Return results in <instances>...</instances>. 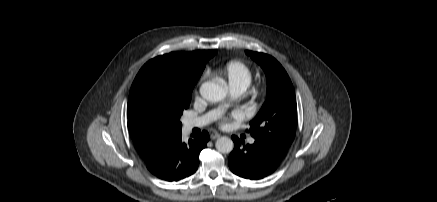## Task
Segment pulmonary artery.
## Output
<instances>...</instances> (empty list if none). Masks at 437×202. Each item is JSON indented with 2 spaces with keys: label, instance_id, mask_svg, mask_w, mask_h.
Instances as JSON below:
<instances>
[{
  "label": "pulmonary artery",
  "instance_id": "pulmonary-artery-1",
  "mask_svg": "<svg viewBox=\"0 0 437 202\" xmlns=\"http://www.w3.org/2000/svg\"><path fill=\"white\" fill-rule=\"evenodd\" d=\"M245 91L244 88H234L233 92L236 96L241 95ZM221 113V110H213L201 117L198 118H191L185 121V127L188 130H191L196 127H202L204 125L209 124L213 120H215ZM250 143H254V139H249Z\"/></svg>",
  "mask_w": 437,
  "mask_h": 202
}]
</instances>
